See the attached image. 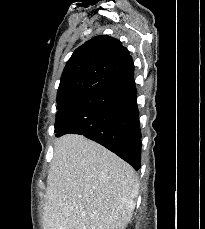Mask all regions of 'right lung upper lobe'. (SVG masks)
Listing matches in <instances>:
<instances>
[{
  "label": "right lung upper lobe",
  "instance_id": "right-lung-upper-lobe-1",
  "mask_svg": "<svg viewBox=\"0 0 205 229\" xmlns=\"http://www.w3.org/2000/svg\"><path fill=\"white\" fill-rule=\"evenodd\" d=\"M121 42L100 35L78 47L68 60L57 92V104L73 99L117 70L129 59Z\"/></svg>",
  "mask_w": 205,
  "mask_h": 229
}]
</instances>
